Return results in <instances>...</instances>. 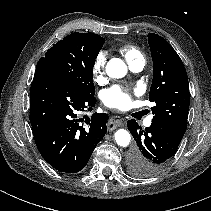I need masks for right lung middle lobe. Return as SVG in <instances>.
I'll list each match as a JSON object with an SVG mask.
<instances>
[{
	"label": "right lung middle lobe",
	"instance_id": "obj_1",
	"mask_svg": "<svg viewBox=\"0 0 211 211\" xmlns=\"http://www.w3.org/2000/svg\"><path fill=\"white\" fill-rule=\"evenodd\" d=\"M104 42L89 33H72L47 50L36 71L56 74L72 82L83 94L94 96L93 66Z\"/></svg>",
	"mask_w": 211,
	"mask_h": 211
}]
</instances>
